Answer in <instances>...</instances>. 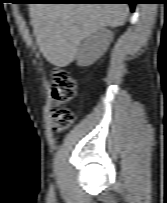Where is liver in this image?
<instances>
[{"instance_id":"liver-1","label":"liver","mask_w":167,"mask_h":203,"mask_svg":"<svg viewBox=\"0 0 167 203\" xmlns=\"http://www.w3.org/2000/svg\"><path fill=\"white\" fill-rule=\"evenodd\" d=\"M129 9L125 4L32 3L30 14L37 44L48 62L68 66L81 41L98 30L122 26Z\"/></svg>"}]
</instances>
